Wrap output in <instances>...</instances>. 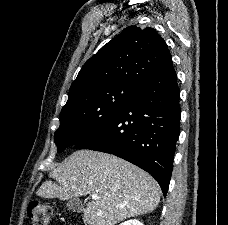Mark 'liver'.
<instances>
[{"label": "liver", "mask_w": 228, "mask_h": 225, "mask_svg": "<svg viewBox=\"0 0 228 225\" xmlns=\"http://www.w3.org/2000/svg\"><path fill=\"white\" fill-rule=\"evenodd\" d=\"M38 189L37 197L68 201L82 195H98L84 209V225H117L120 221L155 211L160 187L135 165L98 151H75L53 169Z\"/></svg>", "instance_id": "obj_1"}]
</instances>
